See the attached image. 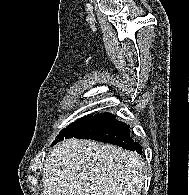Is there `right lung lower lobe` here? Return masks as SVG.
<instances>
[{"instance_id":"1","label":"right lung lower lobe","mask_w":189,"mask_h":195,"mask_svg":"<svg viewBox=\"0 0 189 195\" xmlns=\"http://www.w3.org/2000/svg\"><path fill=\"white\" fill-rule=\"evenodd\" d=\"M73 137L111 143L124 149L142 153L141 145L130 136L129 126L117 121L111 113L92 116L88 123Z\"/></svg>"}]
</instances>
